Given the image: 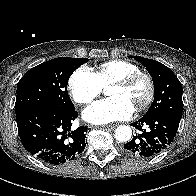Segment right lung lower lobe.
<instances>
[{
    "mask_svg": "<svg viewBox=\"0 0 196 196\" xmlns=\"http://www.w3.org/2000/svg\"><path fill=\"white\" fill-rule=\"evenodd\" d=\"M77 111L37 107L17 117L24 148L47 164H63L76 158L86 146V126L71 130Z\"/></svg>",
    "mask_w": 196,
    "mask_h": 196,
    "instance_id": "right-lung-lower-lobe-1",
    "label": "right lung lower lobe"
}]
</instances>
